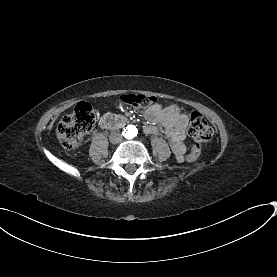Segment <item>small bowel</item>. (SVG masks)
I'll return each mask as SVG.
<instances>
[{
    "mask_svg": "<svg viewBox=\"0 0 277 277\" xmlns=\"http://www.w3.org/2000/svg\"><path fill=\"white\" fill-rule=\"evenodd\" d=\"M144 116L150 122L144 127V131L149 135H157L159 129L156 124H159L172 145L176 159L182 161L186 150L187 115L175 104L156 103L144 111Z\"/></svg>",
    "mask_w": 277,
    "mask_h": 277,
    "instance_id": "small-bowel-1",
    "label": "small bowel"
}]
</instances>
